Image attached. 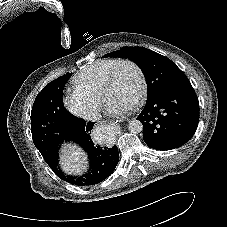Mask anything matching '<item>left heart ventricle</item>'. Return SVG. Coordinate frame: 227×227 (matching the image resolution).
<instances>
[{"label": "left heart ventricle", "instance_id": "obj_1", "mask_svg": "<svg viewBox=\"0 0 227 227\" xmlns=\"http://www.w3.org/2000/svg\"><path fill=\"white\" fill-rule=\"evenodd\" d=\"M139 87L140 79L137 71L132 66L125 65L108 91L106 101L132 104L137 97Z\"/></svg>", "mask_w": 227, "mask_h": 227}]
</instances>
